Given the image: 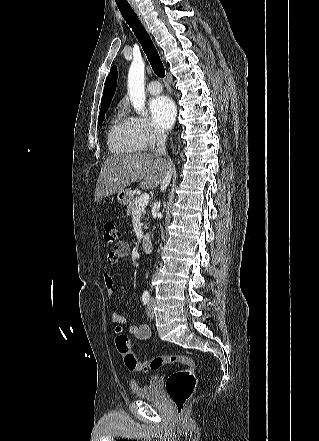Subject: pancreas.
<instances>
[{
	"instance_id": "obj_1",
	"label": "pancreas",
	"mask_w": 319,
	"mask_h": 441,
	"mask_svg": "<svg viewBox=\"0 0 319 441\" xmlns=\"http://www.w3.org/2000/svg\"><path fill=\"white\" fill-rule=\"evenodd\" d=\"M138 200H139V197H136V198L132 199L131 202L128 204L127 210H126L128 216H133L134 211L136 209V206L138 204ZM146 227L147 226L145 225V228Z\"/></svg>"
}]
</instances>
